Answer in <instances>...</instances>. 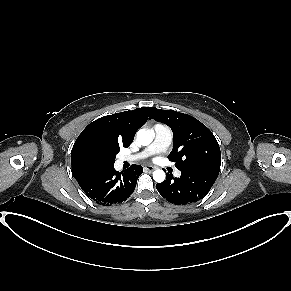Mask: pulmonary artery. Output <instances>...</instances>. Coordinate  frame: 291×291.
<instances>
[{"instance_id":"e3ab8cb5","label":"pulmonary artery","mask_w":291,"mask_h":291,"mask_svg":"<svg viewBox=\"0 0 291 291\" xmlns=\"http://www.w3.org/2000/svg\"><path fill=\"white\" fill-rule=\"evenodd\" d=\"M154 133H155V137L151 145H149L147 148H145L143 151L139 152L138 154L131 155V156H122L120 160L132 162V161L147 158L155 153H159L166 150L172 141V132L170 128L166 125L157 124L154 127ZM174 175L176 177H180L181 172L179 170H176Z\"/></svg>"}]
</instances>
